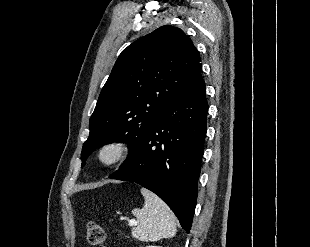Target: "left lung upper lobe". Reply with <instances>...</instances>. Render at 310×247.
I'll return each mask as SVG.
<instances>
[{
  "mask_svg": "<svg viewBox=\"0 0 310 247\" xmlns=\"http://www.w3.org/2000/svg\"><path fill=\"white\" fill-rule=\"evenodd\" d=\"M201 71L197 49L179 28L165 25L130 44L99 95L82 160L112 142L129 144V160L167 106Z\"/></svg>",
  "mask_w": 310,
  "mask_h": 247,
  "instance_id": "obj_1",
  "label": "left lung upper lobe"
}]
</instances>
